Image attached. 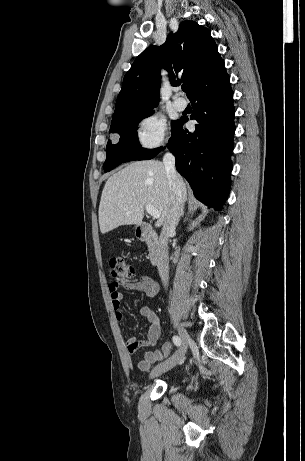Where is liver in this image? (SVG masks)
Wrapping results in <instances>:
<instances>
[{"label": "liver", "instance_id": "obj_1", "mask_svg": "<svg viewBox=\"0 0 305 461\" xmlns=\"http://www.w3.org/2000/svg\"><path fill=\"white\" fill-rule=\"evenodd\" d=\"M178 178L183 199L186 200L185 183L180 175ZM170 195L162 162L147 160L129 164L105 183L99 205L101 233H108L122 225L141 224L146 205H152L160 212V218L155 224L160 227L170 207Z\"/></svg>", "mask_w": 305, "mask_h": 461}]
</instances>
